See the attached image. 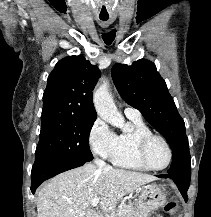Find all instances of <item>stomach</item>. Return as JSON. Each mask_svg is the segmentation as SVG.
<instances>
[{"label": "stomach", "mask_w": 211, "mask_h": 217, "mask_svg": "<svg viewBox=\"0 0 211 217\" xmlns=\"http://www.w3.org/2000/svg\"><path fill=\"white\" fill-rule=\"evenodd\" d=\"M166 202V194L160 185L150 184L140 191L136 202L137 217H148V214L162 207Z\"/></svg>", "instance_id": "0dacf381"}]
</instances>
